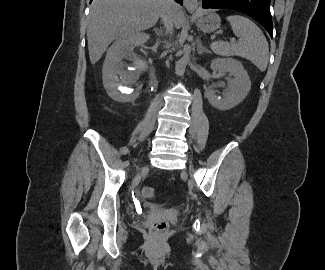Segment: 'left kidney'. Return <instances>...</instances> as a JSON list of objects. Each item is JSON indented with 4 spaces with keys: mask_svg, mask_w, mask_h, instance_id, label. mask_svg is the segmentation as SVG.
Wrapping results in <instances>:
<instances>
[{
    "mask_svg": "<svg viewBox=\"0 0 325 270\" xmlns=\"http://www.w3.org/2000/svg\"><path fill=\"white\" fill-rule=\"evenodd\" d=\"M210 67L219 73H231L234 78L229 81L223 98L215 94L214 89L206 91L209 103L219 110H229L241 103L251 89V81L241 62L233 58L214 59Z\"/></svg>",
    "mask_w": 325,
    "mask_h": 270,
    "instance_id": "5707ae66",
    "label": "left kidney"
}]
</instances>
